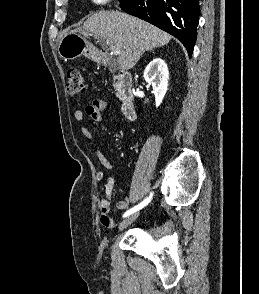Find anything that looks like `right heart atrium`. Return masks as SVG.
<instances>
[{"instance_id":"1","label":"right heart atrium","mask_w":259,"mask_h":294,"mask_svg":"<svg viewBox=\"0 0 259 294\" xmlns=\"http://www.w3.org/2000/svg\"><path fill=\"white\" fill-rule=\"evenodd\" d=\"M110 0H90V2L94 5L101 6L106 4Z\"/></svg>"}]
</instances>
